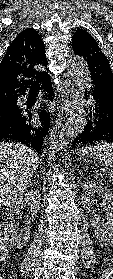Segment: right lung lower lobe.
Returning a JSON list of instances; mask_svg holds the SVG:
<instances>
[{
    "mask_svg": "<svg viewBox=\"0 0 113 279\" xmlns=\"http://www.w3.org/2000/svg\"><path fill=\"white\" fill-rule=\"evenodd\" d=\"M42 88L47 91L48 96L53 95L51 81L48 75L41 80ZM31 113L21 112L13 121L0 125V140H13L21 142L41 154L43 138L48 133L50 125L49 113L44 109L40 110V127H33L30 124Z\"/></svg>",
    "mask_w": 113,
    "mask_h": 279,
    "instance_id": "98d812e1",
    "label": "right lung lower lobe"
}]
</instances>
